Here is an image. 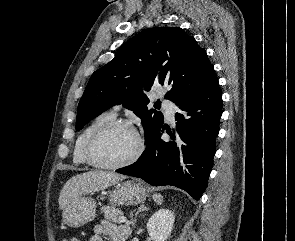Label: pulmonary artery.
Returning <instances> with one entry per match:
<instances>
[{
    "label": "pulmonary artery",
    "mask_w": 295,
    "mask_h": 241,
    "mask_svg": "<svg viewBox=\"0 0 295 241\" xmlns=\"http://www.w3.org/2000/svg\"><path fill=\"white\" fill-rule=\"evenodd\" d=\"M163 106H164V109L166 111V115H167V118L171 121L174 120V115H175V112H176V106L174 105V103L170 100H164L163 101ZM119 110V107L118 106H115L113 109H112V112L116 114V112Z\"/></svg>",
    "instance_id": "pulmonary-artery-1"
}]
</instances>
